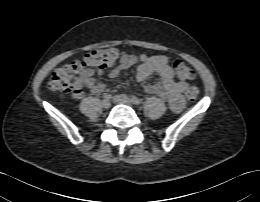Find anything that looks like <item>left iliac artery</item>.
<instances>
[{
	"label": "left iliac artery",
	"mask_w": 260,
	"mask_h": 202,
	"mask_svg": "<svg viewBox=\"0 0 260 202\" xmlns=\"http://www.w3.org/2000/svg\"><path fill=\"white\" fill-rule=\"evenodd\" d=\"M131 101L133 104L139 105L141 104V100H139L138 98H136L135 96L131 97Z\"/></svg>",
	"instance_id": "obj_1"
}]
</instances>
